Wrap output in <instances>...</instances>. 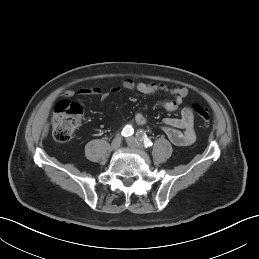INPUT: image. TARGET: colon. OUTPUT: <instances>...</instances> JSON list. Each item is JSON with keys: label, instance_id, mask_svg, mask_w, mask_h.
I'll return each instance as SVG.
<instances>
[{"label": "colon", "instance_id": "1", "mask_svg": "<svg viewBox=\"0 0 259 259\" xmlns=\"http://www.w3.org/2000/svg\"><path fill=\"white\" fill-rule=\"evenodd\" d=\"M193 110L199 116L205 127L210 126L211 116L209 112L199 104L193 105ZM83 114L82 107L71 101L60 102L52 116V130L54 138L59 142H67L71 139L76 127L79 125Z\"/></svg>", "mask_w": 259, "mask_h": 259}]
</instances>
